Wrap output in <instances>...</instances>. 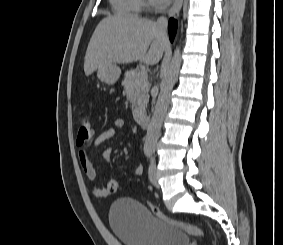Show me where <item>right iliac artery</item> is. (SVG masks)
<instances>
[{"mask_svg": "<svg viewBox=\"0 0 283 245\" xmlns=\"http://www.w3.org/2000/svg\"><path fill=\"white\" fill-rule=\"evenodd\" d=\"M149 154H150V151H149V150H146V151H145V155L148 156Z\"/></svg>", "mask_w": 283, "mask_h": 245, "instance_id": "obj_1", "label": "right iliac artery"}]
</instances>
